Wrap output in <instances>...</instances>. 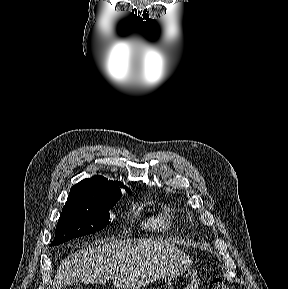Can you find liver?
Listing matches in <instances>:
<instances>
[{
  "label": "liver",
  "mask_w": 288,
  "mask_h": 289,
  "mask_svg": "<svg viewBox=\"0 0 288 289\" xmlns=\"http://www.w3.org/2000/svg\"><path fill=\"white\" fill-rule=\"evenodd\" d=\"M192 263L169 241L151 238L100 241L65 259L51 289H61L71 278H78L84 284L110 279L117 289H140Z\"/></svg>",
  "instance_id": "liver-1"
}]
</instances>
